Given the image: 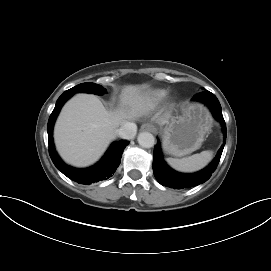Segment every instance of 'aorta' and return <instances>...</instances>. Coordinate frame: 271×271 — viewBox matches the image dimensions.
I'll return each instance as SVG.
<instances>
[{"label":"aorta","mask_w":271,"mask_h":271,"mask_svg":"<svg viewBox=\"0 0 271 271\" xmlns=\"http://www.w3.org/2000/svg\"><path fill=\"white\" fill-rule=\"evenodd\" d=\"M137 141L141 147L151 148L155 144L154 136L149 132H141L138 135Z\"/></svg>","instance_id":"aorta-1"}]
</instances>
